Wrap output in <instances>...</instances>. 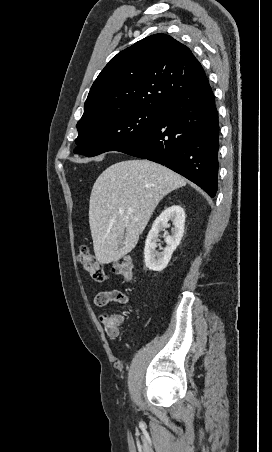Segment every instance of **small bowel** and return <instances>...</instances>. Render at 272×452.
<instances>
[{
  "mask_svg": "<svg viewBox=\"0 0 272 452\" xmlns=\"http://www.w3.org/2000/svg\"><path fill=\"white\" fill-rule=\"evenodd\" d=\"M95 305L103 307L109 303H116L118 309L126 311L129 309V297L127 294L119 290H106L98 293L95 297ZM124 316L122 314H107L102 313L99 315V320L104 325L106 333L109 337L115 338L119 335L120 329L124 322Z\"/></svg>",
  "mask_w": 272,
  "mask_h": 452,
  "instance_id": "small-bowel-1",
  "label": "small bowel"
}]
</instances>
